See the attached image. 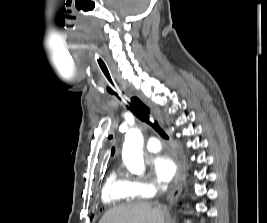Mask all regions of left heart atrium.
I'll return each mask as SVG.
<instances>
[{"instance_id": "1", "label": "left heart atrium", "mask_w": 267, "mask_h": 223, "mask_svg": "<svg viewBox=\"0 0 267 223\" xmlns=\"http://www.w3.org/2000/svg\"><path fill=\"white\" fill-rule=\"evenodd\" d=\"M152 169L159 182H167L174 176L177 165L171 156L160 154L153 158Z\"/></svg>"}]
</instances>
